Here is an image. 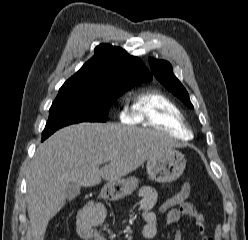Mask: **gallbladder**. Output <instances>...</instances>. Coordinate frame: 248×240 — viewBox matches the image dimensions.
Returning a JSON list of instances; mask_svg holds the SVG:
<instances>
[{
	"label": "gallbladder",
	"instance_id": "gallbladder-1",
	"mask_svg": "<svg viewBox=\"0 0 248 240\" xmlns=\"http://www.w3.org/2000/svg\"><path fill=\"white\" fill-rule=\"evenodd\" d=\"M80 193V186L70 184L65 190V197L71 201Z\"/></svg>",
	"mask_w": 248,
	"mask_h": 240
}]
</instances>
